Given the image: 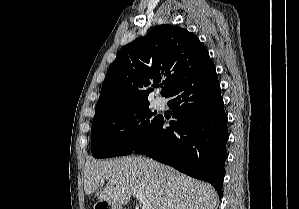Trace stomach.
Listing matches in <instances>:
<instances>
[{
	"label": "stomach",
	"mask_w": 299,
	"mask_h": 209,
	"mask_svg": "<svg viewBox=\"0 0 299 209\" xmlns=\"http://www.w3.org/2000/svg\"><path fill=\"white\" fill-rule=\"evenodd\" d=\"M110 206H111V204H109L108 202L100 200L94 205V209H110L109 208ZM111 209H122V208L112 206Z\"/></svg>",
	"instance_id": "0dacf381"
}]
</instances>
